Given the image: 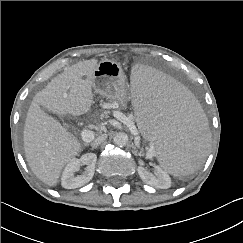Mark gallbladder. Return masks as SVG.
<instances>
[{
    "instance_id": "1",
    "label": "gallbladder",
    "mask_w": 243,
    "mask_h": 243,
    "mask_svg": "<svg viewBox=\"0 0 243 243\" xmlns=\"http://www.w3.org/2000/svg\"><path fill=\"white\" fill-rule=\"evenodd\" d=\"M41 109H42L43 111H46V108H44V107H41ZM61 120L63 121V125H64V127H66V128H69V127H70L69 124H68L67 122H65V121L63 120L62 117H61Z\"/></svg>"
}]
</instances>
